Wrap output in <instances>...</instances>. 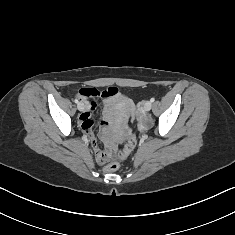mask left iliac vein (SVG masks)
I'll use <instances>...</instances> for the list:
<instances>
[{
    "label": "left iliac vein",
    "mask_w": 235,
    "mask_h": 235,
    "mask_svg": "<svg viewBox=\"0 0 235 235\" xmlns=\"http://www.w3.org/2000/svg\"><path fill=\"white\" fill-rule=\"evenodd\" d=\"M151 108H152V103H151V101H146V102L144 103V110H145V111H150Z\"/></svg>",
    "instance_id": "left-iliac-vein-1"
}]
</instances>
